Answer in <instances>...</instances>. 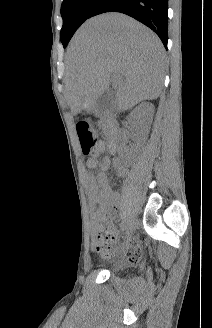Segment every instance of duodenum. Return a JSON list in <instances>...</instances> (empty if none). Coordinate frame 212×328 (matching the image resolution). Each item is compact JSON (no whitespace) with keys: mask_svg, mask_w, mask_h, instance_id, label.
I'll list each match as a JSON object with an SVG mask.
<instances>
[{"mask_svg":"<svg viewBox=\"0 0 212 328\" xmlns=\"http://www.w3.org/2000/svg\"><path fill=\"white\" fill-rule=\"evenodd\" d=\"M105 130L109 137V144L112 149L116 147L118 138V124L112 113L104 114Z\"/></svg>","mask_w":212,"mask_h":328,"instance_id":"duodenum-1","label":"duodenum"}]
</instances>
